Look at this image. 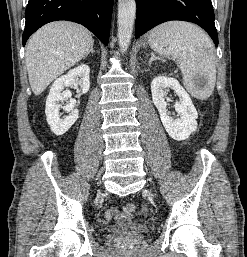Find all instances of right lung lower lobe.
Returning <instances> with one entry per match:
<instances>
[{"instance_id": "obj_1", "label": "right lung lower lobe", "mask_w": 247, "mask_h": 257, "mask_svg": "<svg viewBox=\"0 0 247 257\" xmlns=\"http://www.w3.org/2000/svg\"><path fill=\"white\" fill-rule=\"evenodd\" d=\"M113 0H29L23 46L41 26L57 20L77 22L108 45Z\"/></svg>"}]
</instances>
